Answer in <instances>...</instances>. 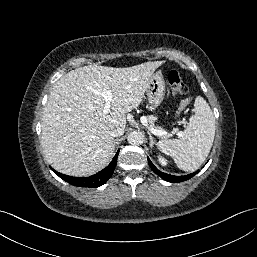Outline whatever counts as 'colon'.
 <instances>
[{
	"instance_id": "colon-1",
	"label": "colon",
	"mask_w": 257,
	"mask_h": 257,
	"mask_svg": "<svg viewBox=\"0 0 257 257\" xmlns=\"http://www.w3.org/2000/svg\"><path fill=\"white\" fill-rule=\"evenodd\" d=\"M167 82L169 86V91L173 96L183 97L177 109V113L181 114L190 103V99L187 97L188 88L184 83L181 75L176 70H171L168 73Z\"/></svg>"
}]
</instances>
